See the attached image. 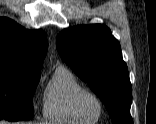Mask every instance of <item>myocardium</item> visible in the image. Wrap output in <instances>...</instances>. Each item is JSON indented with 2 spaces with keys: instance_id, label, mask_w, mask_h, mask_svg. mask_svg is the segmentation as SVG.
I'll list each match as a JSON object with an SVG mask.
<instances>
[{
  "instance_id": "obj_1",
  "label": "myocardium",
  "mask_w": 156,
  "mask_h": 124,
  "mask_svg": "<svg viewBox=\"0 0 156 124\" xmlns=\"http://www.w3.org/2000/svg\"><path fill=\"white\" fill-rule=\"evenodd\" d=\"M85 96H91L92 98H94L97 101V103L99 105V113L95 118L99 119L104 111V102H103L102 98L97 93H95L94 91H92L90 89L81 88L80 90H78L75 93L74 99H73V104H74V108H75L76 112L82 118H86V119L89 118L82 108V99ZM95 118H93V119H95Z\"/></svg>"
}]
</instances>
